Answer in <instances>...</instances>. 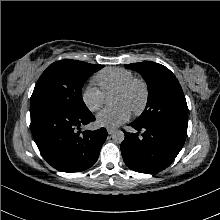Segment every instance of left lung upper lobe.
Listing matches in <instances>:
<instances>
[{"instance_id":"left-lung-upper-lobe-1","label":"left lung upper lobe","mask_w":220,"mask_h":220,"mask_svg":"<svg viewBox=\"0 0 220 220\" xmlns=\"http://www.w3.org/2000/svg\"><path fill=\"white\" fill-rule=\"evenodd\" d=\"M137 71L148 87V101L137 124H165L187 134L188 107L182 88L175 75L165 66L145 61L125 65Z\"/></svg>"}]
</instances>
